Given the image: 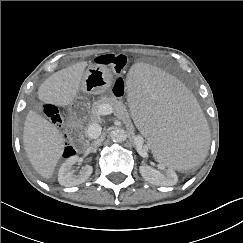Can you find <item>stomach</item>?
I'll return each mask as SVG.
<instances>
[{
    "label": "stomach",
    "instance_id": "1",
    "mask_svg": "<svg viewBox=\"0 0 243 243\" xmlns=\"http://www.w3.org/2000/svg\"><path fill=\"white\" fill-rule=\"evenodd\" d=\"M112 84V74L110 70L100 64H91L85 70L81 83L80 92L83 94H103ZM88 106L83 96H77L70 105L69 111L71 115H75L82 107Z\"/></svg>",
    "mask_w": 243,
    "mask_h": 243
}]
</instances>
